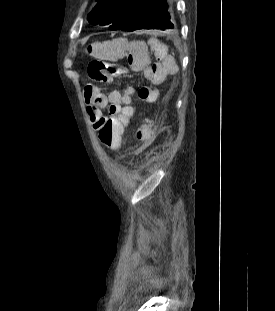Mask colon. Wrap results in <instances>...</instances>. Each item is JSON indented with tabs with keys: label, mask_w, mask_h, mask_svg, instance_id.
Masks as SVG:
<instances>
[{
	"label": "colon",
	"mask_w": 275,
	"mask_h": 311,
	"mask_svg": "<svg viewBox=\"0 0 275 311\" xmlns=\"http://www.w3.org/2000/svg\"><path fill=\"white\" fill-rule=\"evenodd\" d=\"M102 48L101 43L90 44L87 47V53L95 57L88 64L87 73L95 81L106 82L111 77L121 75L123 71L118 65L98 58L103 52ZM138 97L141 101L152 103L157 98V91L151 86H142L138 91ZM128 128L129 118L102 119L98 129L99 140L105 147L116 150L122 144L121 130Z\"/></svg>",
	"instance_id": "1"
}]
</instances>
